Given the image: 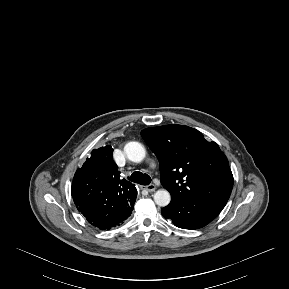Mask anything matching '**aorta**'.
<instances>
[{"mask_svg":"<svg viewBox=\"0 0 289 289\" xmlns=\"http://www.w3.org/2000/svg\"><path fill=\"white\" fill-rule=\"evenodd\" d=\"M124 150L127 158L130 161L136 163L141 162L146 155L145 148L139 142L127 143ZM170 200H171L170 193L165 189L158 190L154 194V201L158 206L165 207L170 203Z\"/></svg>","mask_w":289,"mask_h":289,"instance_id":"762f6f07","label":"aorta"}]
</instances>
